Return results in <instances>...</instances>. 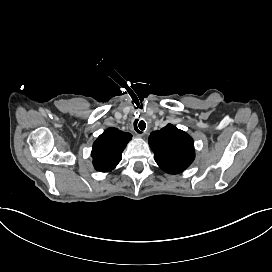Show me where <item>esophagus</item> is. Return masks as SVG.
<instances>
[{"mask_svg":"<svg viewBox=\"0 0 272 272\" xmlns=\"http://www.w3.org/2000/svg\"><path fill=\"white\" fill-rule=\"evenodd\" d=\"M136 130V129H135ZM136 133H138V135H142V134H140L137 130H136Z\"/></svg>","mask_w":272,"mask_h":272,"instance_id":"34e87169","label":"esophagus"}]
</instances>
